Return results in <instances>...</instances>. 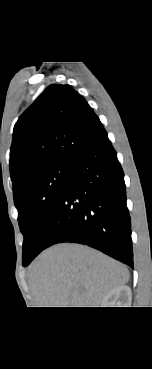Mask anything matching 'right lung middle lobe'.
<instances>
[{
    "label": "right lung middle lobe",
    "mask_w": 152,
    "mask_h": 369,
    "mask_svg": "<svg viewBox=\"0 0 152 369\" xmlns=\"http://www.w3.org/2000/svg\"><path fill=\"white\" fill-rule=\"evenodd\" d=\"M70 163H56L29 174L13 193L24 236L23 262L35 252L45 224L65 185Z\"/></svg>",
    "instance_id": "obj_1"
}]
</instances>
